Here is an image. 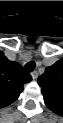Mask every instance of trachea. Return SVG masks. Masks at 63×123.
<instances>
[{"label":"trachea","instance_id":"obj_1","mask_svg":"<svg viewBox=\"0 0 63 123\" xmlns=\"http://www.w3.org/2000/svg\"><path fill=\"white\" fill-rule=\"evenodd\" d=\"M35 66V63L33 61H30L27 62L24 67L27 72H32L35 69Z\"/></svg>","mask_w":63,"mask_h":123}]
</instances>
